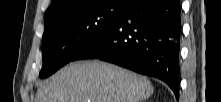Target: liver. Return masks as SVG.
Listing matches in <instances>:
<instances>
[{"label": "liver", "instance_id": "1", "mask_svg": "<svg viewBox=\"0 0 221 102\" xmlns=\"http://www.w3.org/2000/svg\"><path fill=\"white\" fill-rule=\"evenodd\" d=\"M153 91L144 76L106 62L80 61L43 83L36 102H142Z\"/></svg>", "mask_w": 221, "mask_h": 102}]
</instances>
